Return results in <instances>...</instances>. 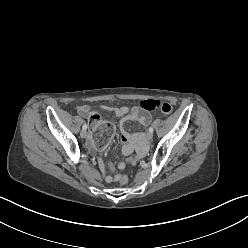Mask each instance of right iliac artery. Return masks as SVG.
Here are the masks:
<instances>
[{"label": "right iliac artery", "instance_id": "82829eb1", "mask_svg": "<svg viewBox=\"0 0 248 248\" xmlns=\"http://www.w3.org/2000/svg\"><path fill=\"white\" fill-rule=\"evenodd\" d=\"M87 127H88L87 124H84L83 127H82V129H83V130H86Z\"/></svg>", "mask_w": 248, "mask_h": 248}]
</instances>
